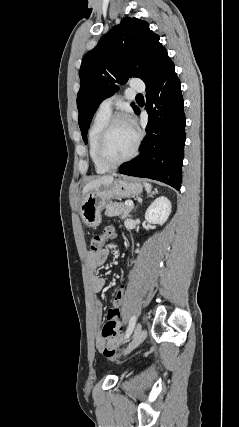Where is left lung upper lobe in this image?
Masks as SVG:
<instances>
[{"label":"left lung upper lobe","mask_w":239,"mask_h":427,"mask_svg":"<svg viewBox=\"0 0 239 427\" xmlns=\"http://www.w3.org/2000/svg\"><path fill=\"white\" fill-rule=\"evenodd\" d=\"M171 59L149 24L137 18H124L83 58L77 95L79 127L87 143V131L101 101L118 90L130 77L152 80ZM135 112L137 106L132 104Z\"/></svg>","instance_id":"obj_1"}]
</instances>
